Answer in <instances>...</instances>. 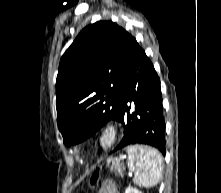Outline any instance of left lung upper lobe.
<instances>
[{
    "label": "left lung upper lobe",
    "mask_w": 221,
    "mask_h": 193,
    "mask_svg": "<svg viewBox=\"0 0 221 193\" xmlns=\"http://www.w3.org/2000/svg\"><path fill=\"white\" fill-rule=\"evenodd\" d=\"M136 39L111 21L85 27L61 58L56 81L57 124L64 144L92 136L108 120H120V89L139 48ZM156 125L154 108L142 124Z\"/></svg>",
    "instance_id": "1"
}]
</instances>
